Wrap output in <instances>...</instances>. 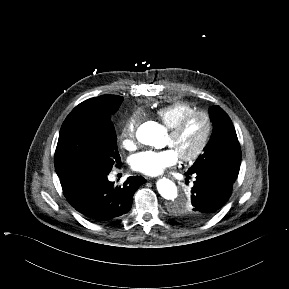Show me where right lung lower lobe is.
Returning a JSON list of instances; mask_svg holds the SVG:
<instances>
[{"instance_id":"98d812e1","label":"right lung lower lobe","mask_w":289,"mask_h":289,"mask_svg":"<svg viewBox=\"0 0 289 289\" xmlns=\"http://www.w3.org/2000/svg\"><path fill=\"white\" fill-rule=\"evenodd\" d=\"M108 174L78 173L60 178L71 206L94 222H107L126 214L134 193L146 182L141 176H132L118 187L108 180Z\"/></svg>"}]
</instances>
